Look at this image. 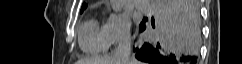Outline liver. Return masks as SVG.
I'll use <instances>...</instances> for the list:
<instances>
[{
	"mask_svg": "<svg viewBox=\"0 0 242 64\" xmlns=\"http://www.w3.org/2000/svg\"><path fill=\"white\" fill-rule=\"evenodd\" d=\"M180 24H176L179 31L184 34L192 35L194 39L199 41L200 31L197 28L196 23L190 18V15L187 11H185L182 19L180 20ZM197 28V30H196ZM76 64H119L118 60L115 56H106L96 59H81L77 61ZM129 64H142L140 61L136 59H131Z\"/></svg>",
	"mask_w": 242,
	"mask_h": 64,
	"instance_id": "1",
	"label": "liver"
}]
</instances>
